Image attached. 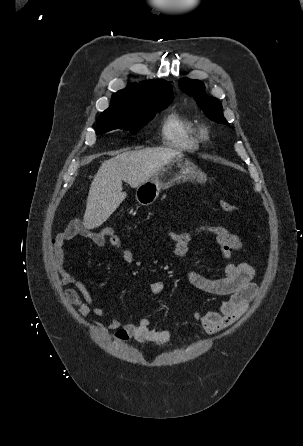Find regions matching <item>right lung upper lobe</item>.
Returning a JSON list of instances; mask_svg holds the SVG:
<instances>
[{"label": "right lung upper lobe", "mask_w": 303, "mask_h": 446, "mask_svg": "<svg viewBox=\"0 0 303 446\" xmlns=\"http://www.w3.org/2000/svg\"><path fill=\"white\" fill-rule=\"evenodd\" d=\"M172 86L164 80H150L134 83L113 94L107 110L143 113L159 105H169L173 100Z\"/></svg>", "instance_id": "right-lung-upper-lobe-1"}]
</instances>
